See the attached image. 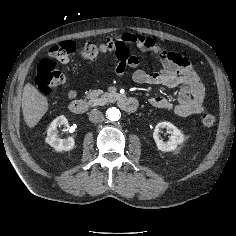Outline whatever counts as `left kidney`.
<instances>
[{
  "label": "left kidney",
  "mask_w": 236,
  "mask_h": 236,
  "mask_svg": "<svg viewBox=\"0 0 236 236\" xmlns=\"http://www.w3.org/2000/svg\"><path fill=\"white\" fill-rule=\"evenodd\" d=\"M164 128L168 131V133L171 134L169 136V140L166 142L161 140L159 135L160 130ZM153 138L155 140L157 148L160 151L164 152L174 151L177 148V145L181 144L184 141L183 133L172 123L166 121L160 122L156 125L153 133Z\"/></svg>",
  "instance_id": "left-kidney-1"
}]
</instances>
